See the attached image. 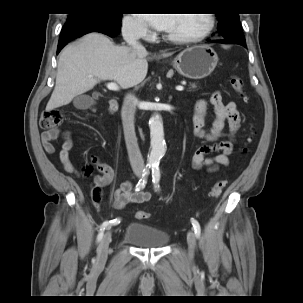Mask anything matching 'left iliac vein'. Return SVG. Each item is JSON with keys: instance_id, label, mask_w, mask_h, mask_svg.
Returning <instances> with one entry per match:
<instances>
[{"instance_id": "left-iliac-vein-1", "label": "left iliac vein", "mask_w": 303, "mask_h": 303, "mask_svg": "<svg viewBox=\"0 0 303 303\" xmlns=\"http://www.w3.org/2000/svg\"><path fill=\"white\" fill-rule=\"evenodd\" d=\"M187 243L189 247V256L192 259L194 256V249L196 245V236L194 230H190L187 234Z\"/></svg>"}]
</instances>
